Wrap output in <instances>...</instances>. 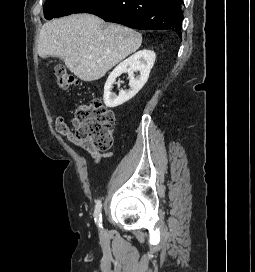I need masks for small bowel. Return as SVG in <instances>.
Masks as SVG:
<instances>
[{
	"instance_id": "obj_1",
	"label": "small bowel",
	"mask_w": 255,
	"mask_h": 272,
	"mask_svg": "<svg viewBox=\"0 0 255 272\" xmlns=\"http://www.w3.org/2000/svg\"><path fill=\"white\" fill-rule=\"evenodd\" d=\"M55 126H56V130L57 132L64 138H66L67 140H69L70 142H72L73 144L82 147L83 149H85L93 158L95 163L100 162V160L103 157V154L92 148L91 146H89L88 144L79 141L75 135L72 133V131L70 130L68 124L66 123L65 119L61 116L57 117L55 120Z\"/></svg>"
}]
</instances>
